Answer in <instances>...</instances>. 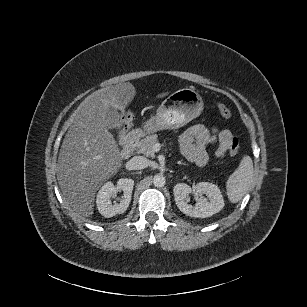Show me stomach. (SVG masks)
Instances as JSON below:
<instances>
[{
    "label": "stomach",
    "instance_id": "0dacf381",
    "mask_svg": "<svg viewBox=\"0 0 307 307\" xmlns=\"http://www.w3.org/2000/svg\"><path fill=\"white\" fill-rule=\"evenodd\" d=\"M202 106L197 92L189 88L179 89L163 100L156 116L144 126L148 131L179 128L198 116Z\"/></svg>",
    "mask_w": 307,
    "mask_h": 307
}]
</instances>
